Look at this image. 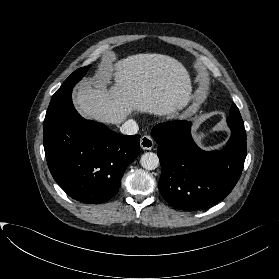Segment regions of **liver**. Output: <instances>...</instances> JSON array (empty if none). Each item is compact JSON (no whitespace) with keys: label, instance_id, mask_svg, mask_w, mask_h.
Returning <instances> with one entry per match:
<instances>
[{"label":"liver","instance_id":"6515ba94","mask_svg":"<svg viewBox=\"0 0 279 279\" xmlns=\"http://www.w3.org/2000/svg\"><path fill=\"white\" fill-rule=\"evenodd\" d=\"M95 83H82L74 104L84 118L106 124L118 125L134 111L172 117L192 99L187 69L162 54L108 58L101 64Z\"/></svg>","mask_w":279,"mask_h":279}]
</instances>
